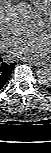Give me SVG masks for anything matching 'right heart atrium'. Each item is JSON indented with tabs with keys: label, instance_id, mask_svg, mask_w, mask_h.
I'll return each instance as SVG.
<instances>
[{
	"label": "right heart atrium",
	"instance_id": "obj_1",
	"mask_svg": "<svg viewBox=\"0 0 51 153\" xmlns=\"http://www.w3.org/2000/svg\"><path fill=\"white\" fill-rule=\"evenodd\" d=\"M8 14L9 7L7 5H3L0 9V31L6 32L8 30Z\"/></svg>",
	"mask_w": 51,
	"mask_h": 153
}]
</instances>
